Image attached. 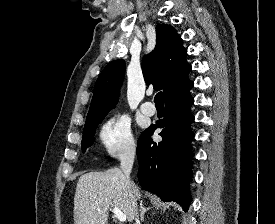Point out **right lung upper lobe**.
Returning a JSON list of instances; mask_svg holds the SVG:
<instances>
[{
    "label": "right lung upper lobe",
    "mask_w": 275,
    "mask_h": 224,
    "mask_svg": "<svg viewBox=\"0 0 275 224\" xmlns=\"http://www.w3.org/2000/svg\"><path fill=\"white\" fill-rule=\"evenodd\" d=\"M156 46L142 61V71L147 85L163 89L164 96L185 84L191 65L186 61L187 50L176 30L166 24L156 27ZM125 72V62L112 61L98 77L86 119V125L104 118L118 100L119 88Z\"/></svg>",
    "instance_id": "cb5924a9"
}]
</instances>
